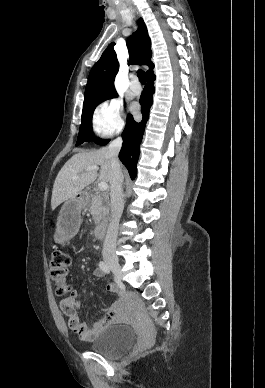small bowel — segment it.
<instances>
[{"mask_svg":"<svg viewBox=\"0 0 265 388\" xmlns=\"http://www.w3.org/2000/svg\"><path fill=\"white\" fill-rule=\"evenodd\" d=\"M94 275L101 277L103 273L97 268L94 271ZM107 289L117 295V300L106 310L105 316L93 326H90L87 322L80 319L78 308L81 305V300L78 297L77 291L72 290L71 293L60 302V309L63 315L66 316L67 321H64L62 318L59 319V330L61 332H66L70 329L78 335L80 340L92 341L107 326L126 321L128 319L126 309L130 303V297L113 283L109 284Z\"/></svg>","mask_w":265,"mask_h":388,"instance_id":"small-bowel-1","label":"small bowel"}]
</instances>
